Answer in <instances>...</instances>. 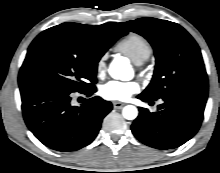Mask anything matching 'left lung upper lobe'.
<instances>
[{
	"instance_id": "1",
	"label": "left lung upper lobe",
	"mask_w": 220,
	"mask_h": 173,
	"mask_svg": "<svg viewBox=\"0 0 220 173\" xmlns=\"http://www.w3.org/2000/svg\"><path fill=\"white\" fill-rule=\"evenodd\" d=\"M121 25L145 37L155 52L154 75L141 94L153 100L178 94L207 98L208 79L200 48L183 27L150 17Z\"/></svg>"
}]
</instances>
